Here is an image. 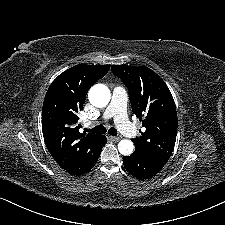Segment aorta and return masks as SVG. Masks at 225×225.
<instances>
[{"instance_id":"1","label":"aorta","mask_w":225,"mask_h":225,"mask_svg":"<svg viewBox=\"0 0 225 225\" xmlns=\"http://www.w3.org/2000/svg\"><path fill=\"white\" fill-rule=\"evenodd\" d=\"M111 98L109 88L104 84H96L91 87L88 93V99L92 105L102 108L108 105ZM118 150L122 155L129 156L134 150L132 141L124 139L118 144Z\"/></svg>"}]
</instances>
